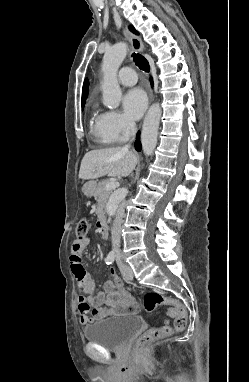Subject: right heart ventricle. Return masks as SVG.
<instances>
[{"label":"right heart ventricle","instance_id":"obj_1","mask_svg":"<svg viewBox=\"0 0 249 382\" xmlns=\"http://www.w3.org/2000/svg\"><path fill=\"white\" fill-rule=\"evenodd\" d=\"M103 114H99V112L94 109L93 111V123H92V131L95 136L105 144L114 143L115 140L112 139L105 131L102 121Z\"/></svg>","mask_w":249,"mask_h":382}]
</instances>
